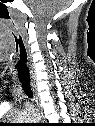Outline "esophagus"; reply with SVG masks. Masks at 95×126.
Returning <instances> with one entry per match:
<instances>
[{"label":"esophagus","mask_w":95,"mask_h":126,"mask_svg":"<svg viewBox=\"0 0 95 126\" xmlns=\"http://www.w3.org/2000/svg\"><path fill=\"white\" fill-rule=\"evenodd\" d=\"M32 90L34 93V102H35V106H36V110L39 113V115H41V118L43 120V111H42V106L40 103V98H39V94L37 92L36 86L32 84Z\"/></svg>","instance_id":"1"}]
</instances>
